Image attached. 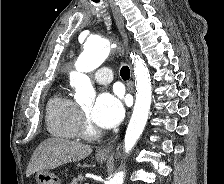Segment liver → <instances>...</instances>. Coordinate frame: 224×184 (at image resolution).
Masks as SVG:
<instances>
[{
    "label": "liver",
    "instance_id": "obj_1",
    "mask_svg": "<svg viewBox=\"0 0 224 184\" xmlns=\"http://www.w3.org/2000/svg\"><path fill=\"white\" fill-rule=\"evenodd\" d=\"M92 153V147L62 138H48L34 151L26 169V177L41 170L55 169L69 162H76Z\"/></svg>",
    "mask_w": 224,
    "mask_h": 184
}]
</instances>
